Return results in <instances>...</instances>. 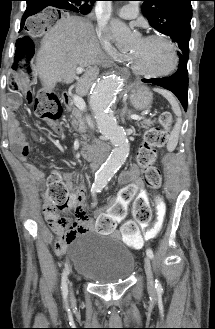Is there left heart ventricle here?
<instances>
[{"label": "left heart ventricle", "mask_w": 215, "mask_h": 329, "mask_svg": "<svg viewBox=\"0 0 215 329\" xmlns=\"http://www.w3.org/2000/svg\"><path fill=\"white\" fill-rule=\"evenodd\" d=\"M139 66L151 73L163 72L172 67L173 52L164 40L139 39L130 51Z\"/></svg>", "instance_id": "1"}]
</instances>
